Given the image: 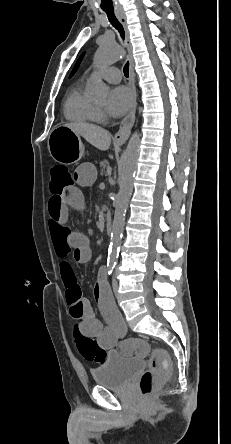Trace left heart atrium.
<instances>
[{"label": "left heart atrium", "instance_id": "obj_1", "mask_svg": "<svg viewBox=\"0 0 231 444\" xmlns=\"http://www.w3.org/2000/svg\"><path fill=\"white\" fill-rule=\"evenodd\" d=\"M133 103V94L125 86H117L110 90L108 95L107 110L113 116H122Z\"/></svg>", "mask_w": 231, "mask_h": 444}]
</instances>
